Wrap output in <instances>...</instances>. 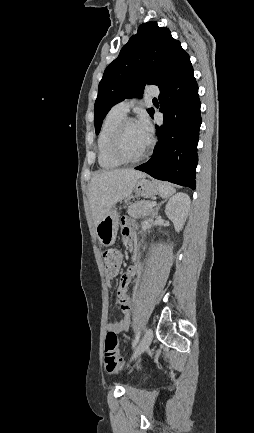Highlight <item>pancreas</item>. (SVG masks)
<instances>
[{"mask_svg": "<svg viewBox=\"0 0 254 433\" xmlns=\"http://www.w3.org/2000/svg\"><path fill=\"white\" fill-rule=\"evenodd\" d=\"M150 201L140 200L130 204L127 213L133 218H147L155 216L154 207H149Z\"/></svg>", "mask_w": 254, "mask_h": 433, "instance_id": "1", "label": "pancreas"}]
</instances>
